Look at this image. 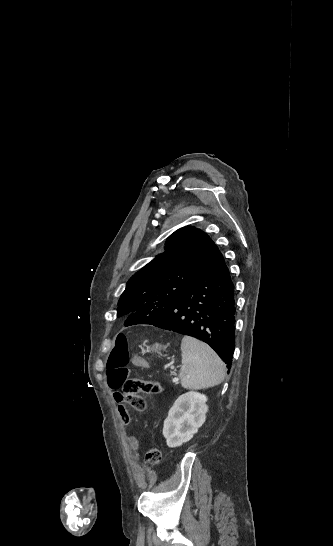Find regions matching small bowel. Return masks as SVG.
I'll return each mask as SVG.
<instances>
[{"label":"small bowel","mask_w":333,"mask_h":546,"mask_svg":"<svg viewBox=\"0 0 333 546\" xmlns=\"http://www.w3.org/2000/svg\"><path fill=\"white\" fill-rule=\"evenodd\" d=\"M130 362L132 365H134V369L136 372H147L148 368H149V365H148V362H147V359L144 358V356L140 353V352H135L134 354L131 355L130 357ZM113 397L115 399V401L118 403V411H119V414L121 415V421H123V426L124 427H129L131 425V416L128 415L129 413V409L127 407L124 406V404L126 403V400L124 398H122V393L120 392H115L113 394ZM128 444H129V447L134 451V452H137L138 451V448H139V444H138V441L137 439L134 437V436H130L128 438Z\"/></svg>","instance_id":"small-bowel-1"}]
</instances>
